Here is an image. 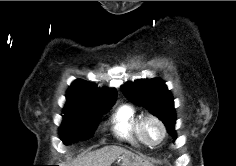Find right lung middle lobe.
I'll return each instance as SVG.
<instances>
[{"label":"right lung middle lobe","instance_id":"dd1d6c3e","mask_svg":"<svg viewBox=\"0 0 236 166\" xmlns=\"http://www.w3.org/2000/svg\"><path fill=\"white\" fill-rule=\"evenodd\" d=\"M111 106L104 108H88L66 105L63 109V123L59 129L64 143L72 140H85L93 136L100 118Z\"/></svg>","mask_w":236,"mask_h":166}]
</instances>
